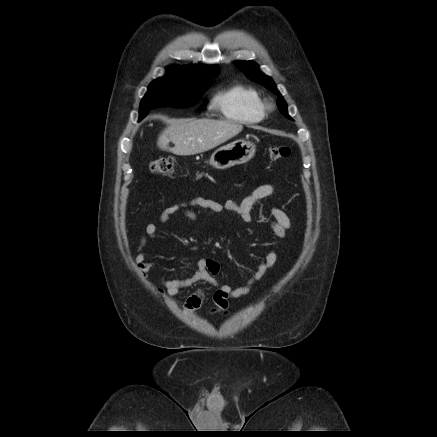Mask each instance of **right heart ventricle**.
Instances as JSON below:
<instances>
[{
    "label": "right heart ventricle",
    "mask_w": 437,
    "mask_h": 437,
    "mask_svg": "<svg viewBox=\"0 0 437 437\" xmlns=\"http://www.w3.org/2000/svg\"><path fill=\"white\" fill-rule=\"evenodd\" d=\"M212 107L221 111L229 120L242 124H255L265 116L264 104L259 93L242 84H234L217 92Z\"/></svg>",
    "instance_id": "e07e8e85"
}]
</instances>
